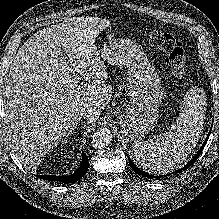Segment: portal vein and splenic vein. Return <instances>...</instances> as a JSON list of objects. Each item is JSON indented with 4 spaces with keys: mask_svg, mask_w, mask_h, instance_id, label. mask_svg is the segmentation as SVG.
<instances>
[{
    "mask_svg": "<svg viewBox=\"0 0 219 219\" xmlns=\"http://www.w3.org/2000/svg\"><path fill=\"white\" fill-rule=\"evenodd\" d=\"M78 79H79L78 75L76 73H73V80H78Z\"/></svg>",
    "mask_w": 219,
    "mask_h": 219,
    "instance_id": "obj_1",
    "label": "portal vein and splenic vein"
}]
</instances>
